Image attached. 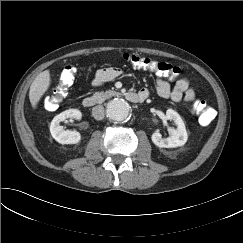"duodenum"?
Segmentation results:
<instances>
[{
    "mask_svg": "<svg viewBox=\"0 0 243 243\" xmlns=\"http://www.w3.org/2000/svg\"><path fill=\"white\" fill-rule=\"evenodd\" d=\"M125 98L130 102L138 103L144 101L147 98V95L129 92L125 94ZM97 103H98V99L92 96L86 97L82 101L83 106L86 108H91L95 106Z\"/></svg>",
    "mask_w": 243,
    "mask_h": 243,
    "instance_id": "410a0bca",
    "label": "duodenum"
}]
</instances>
